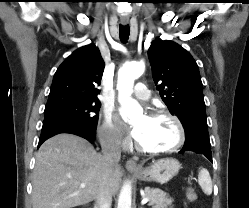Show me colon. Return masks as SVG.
Returning <instances> with one entry per match:
<instances>
[{"label":"colon","instance_id":"5ec220e1","mask_svg":"<svg viewBox=\"0 0 249 208\" xmlns=\"http://www.w3.org/2000/svg\"><path fill=\"white\" fill-rule=\"evenodd\" d=\"M186 196H187V199L190 201V202H194L197 200V192L196 190L193 188V187H189L186 191Z\"/></svg>","mask_w":249,"mask_h":208}]
</instances>
